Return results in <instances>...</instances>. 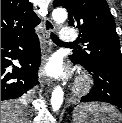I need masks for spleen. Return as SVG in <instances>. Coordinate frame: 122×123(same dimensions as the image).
<instances>
[{
	"label": "spleen",
	"instance_id": "3e777b00",
	"mask_svg": "<svg viewBox=\"0 0 122 123\" xmlns=\"http://www.w3.org/2000/svg\"><path fill=\"white\" fill-rule=\"evenodd\" d=\"M91 114L94 123H120L122 121L121 113L109 104L85 103L79 104L73 112V121L82 115Z\"/></svg>",
	"mask_w": 122,
	"mask_h": 123
}]
</instances>
